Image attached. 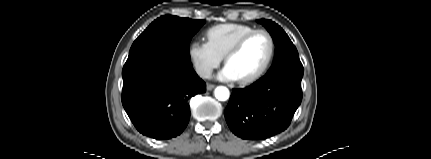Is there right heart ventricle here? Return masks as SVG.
I'll return each instance as SVG.
<instances>
[{
  "label": "right heart ventricle",
  "mask_w": 431,
  "mask_h": 159,
  "mask_svg": "<svg viewBox=\"0 0 431 159\" xmlns=\"http://www.w3.org/2000/svg\"><path fill=\"white\" fill-rule=\"evenodd\" d=\"M255 28L240 23H225L209 28L206 32L208 43L222 57L246 33Z\"/></svg>",
  "instance_id": "e07e8e85"
}]
</instances>
